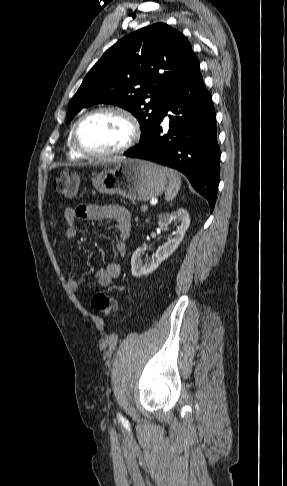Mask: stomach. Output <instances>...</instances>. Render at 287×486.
Masks as SVG:
<instances>
[{
	"label": "stomach",
	"mask_w": 287,
	"mask_h": 486,
	"mask_svg": "<svg viewBox=\"0 0 287 486\" xmlns=\"http://www.w3.org/2000/svg\"><path fill=\"white\" fill-rule=\"evenodd\" d=\"M92 182L99 193L147 201L165 190L167 174L163 167L155 163L126 158L112 160L109 167L96 175Z\"/></svg>",
	"instance_id": "obj_1"
}]
</instances>
